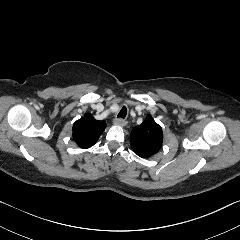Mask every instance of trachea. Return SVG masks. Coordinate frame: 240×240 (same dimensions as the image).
Segmentation results:
<instances>
[{"label": "trachea", "instance_id": "1", "mask_svg": "<svg viewBox=\"0 0 240 240\" xmlns=\"http://www.w3.org/2000/svg\"><path fill=\"white\" fill-rule=\"evenodd\" d=\"M126 115H127V109H126V107L124 106V107H122V109H121L120 112L118 113L117 118H122V119H124V118L126 117Z\"/></svg>", "mask_w": 240, "mask_h": 240}]
</instances>
